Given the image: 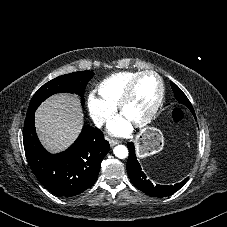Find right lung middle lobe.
<instances>
[{"instance_id":"obj_1","label":"right lung middle lobe","mask_w":227,"mask_h":227,"mask_svg":"<svg viewBox=\"0 0 227 227\" xmlns=\"http://www.w3.org/2000/svg\"><path fill=\"white\" fill-rule=\"evenodd\" d=\"M93 75V71H80L47 82L34 94L27 113L35 111L45 99L55 93H76L81 97V104L84 105V90Z\"/></svg>"}]
</instances>
